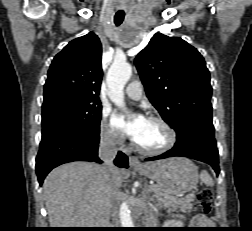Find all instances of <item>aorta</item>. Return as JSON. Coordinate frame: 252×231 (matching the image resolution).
Listing matches in <instances>:
<instances>
[{"mask_svg":"<svg viewBox=\"0 0 252 231\" xmlns=\"http://www.w3.org/2000/svg\"><path fill=\"white\" fill-rule=\"evenodd\" d=\"M131 75L132 67L125 61L115 60L109 68L107 74L109 97L118 107H124L123 89ZM120 220L124 228H134V222L127 202H123L120 206Z\"/></svg>","mask_w":252,"mask_h":231,"instance_id":"762f6f07","label":"aorta"}]
</instances>
